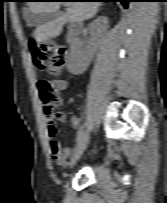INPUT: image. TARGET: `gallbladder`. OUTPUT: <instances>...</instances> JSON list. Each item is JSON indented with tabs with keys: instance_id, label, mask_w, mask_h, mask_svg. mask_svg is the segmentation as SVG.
<instances>
[{
	"instance_id": "gallbladder-1",
	"label": "gallbladder",
	"mask_w": 167,
	"mask_h": 203,
	"mask_svg": "<svg viewBox=\"0 0 167 203\" xmlns=\"http://www.w3.org/2000/svg\"><path fill=\"white\" fill-rule=\"evenodd\" d=\"M60 15L62 12L59 10L50 13L27 12L26 19L31 26L40 27L55 20Z\"/></svg>"
}]
</instances>
